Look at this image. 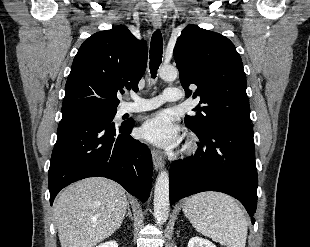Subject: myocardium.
I'll return each mask as SVG.
<instances>
[{"instance_id": "1", "label": "myocardium", "mask_w": 310, "mask_h": 247, "mask_svg": "<svg viewBox=\"0 0 310 247\" xmlns=\"http://www.w3.org/2000/svg\"><path fill=\"white\" fill-rule=\"evenodd\" d=\"M185 149L189 152H193L196 149V139L191 137L185 144Z\"/></svg>"}]
</instances>
